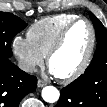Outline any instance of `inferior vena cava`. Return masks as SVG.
Returning <instances> with one entry per match:
<instances>
[{
    "label": "inferior vena cava",
    "mask_w": 107,
    "mask_h": 107,
    "mask_svg": "<svg viewBox=\"0 0 107 107\" xmlns=\"http://www.w3.org/2000/svg\"><path fill=\"white\" fill-rule=\"evenodd\" d=\"M18 67L27 73H32L36 70L34 64H31V63L25 62V61H19Z\"/></svg>",
    "instance_id": "inferior-vena-cava-1"
}]
</instances>
